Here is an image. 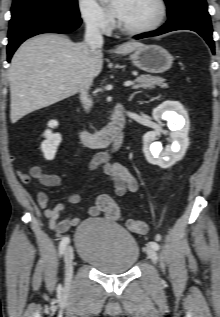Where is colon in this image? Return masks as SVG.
<instances>
[{
    "instance_id": "5ec220e1",
    "label": "colon",
    "mask_w": 220,
    "mask_h": 317,
    "mask_svg": "<svg viewBox=\"0 0 220 317\" xmlns=\"http://www.w3.org/2000/svg\"><path fill=\"white\" fill-rule=\"evenodd\" d=\"M103 211L110 220H119L121 218L120 208L112 198H106L103 201ZM127 226L130 231L137 234H145L147 232L146 223L138 219H129Z\"/></svg>"
}]
</instances>
